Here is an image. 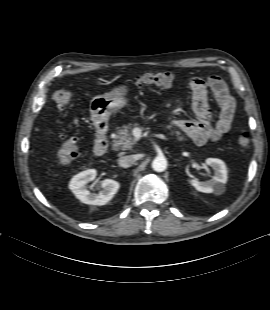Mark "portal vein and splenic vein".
<instances>
[{
	"mask_svg": "<svg viewBox=\"0 0 270 310\" xmlns=\"http://www.w3.org/2000/svg\"><path fill=\"white\" fill-rule=\"evenodd\" d=\"M132 133L134 136V141H138L142 137V132L140 128H134ZM156 137L160 139H165V137L162 134H157Z\"/></svg>",
	"mask_w": 270,
	"mask_h": 310,
	"instance_id": "portal-vein-and-splenic-vein-1",
	"label": "portal vein and splenic vein"
}]
</instances>
